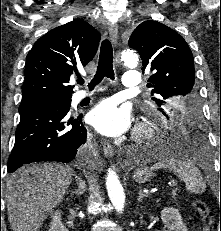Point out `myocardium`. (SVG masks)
I'll use <instances>...</instances> for the list:
<instances>
[{
    "label": "myocardium",
    "mask_w": 221,
    "mask_h": 231,
    "mask_svg": "<svg viewBox=\"0 0 221 231\" xmlns=\"http://www.w3.org/2000/svg\"><path fill=\"white\" fill-rule=\"evenodd\" d=\"M154 136L153 126L148 123H141L135 130L134 140L136 142H143L149 140Z\"/></svg>",
    "instance_id": "myocardium-1"
}]
</instances>
